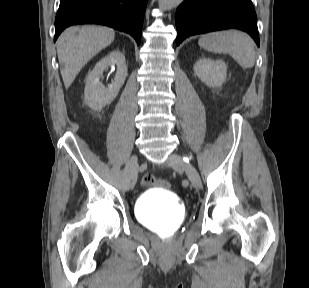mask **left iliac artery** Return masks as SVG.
<instances>
[{"instance_id":"44dca946","label":"left iliac artery","mask_w":309,"mask_h":288,"mask_svg":"<svg viewBox=\"0 0 309 288\" xmlns=\"http://www.w3.org/2000/svg\"><path fill=\"white\" fill-rule=\"evenodd\" d=\"M183 159H184V161L189 162V160L191 159V157L184 156Z\"/></svg>"}]
</instances>
